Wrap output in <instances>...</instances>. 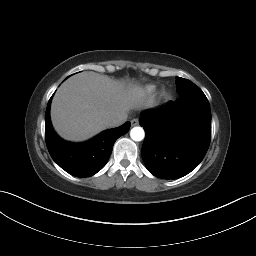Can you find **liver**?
<instances>
[{"label": "liver", "mask_w": 256, "mask_h": 256, "mask_svg": "<svg viewBox=\"0 0 256 256\" xmlns=\"http://www.w3.org/2000/svg\"><path fill=\"white\" fill-rule=\"evenodd\" d=\"M154 106V97L137 84L82 72L67 79L55 93L51 121L69 141H83L109 127L115 118L132 109Z\"/></svg>", "instance_id": "1"}]
</instances>
